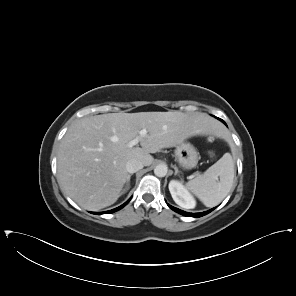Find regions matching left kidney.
<instances>
[{"mask_svg": "<svg viewBox=\"0 0 296 296\" xmlns=\"http://www.w3.org/2000/svg\"><path fill=\"white\" fill-rule=\"evenodd\" d=\"M169 191L175 203L185 209H193L196 201L181 181L171 180L169 182Z\"/></svg>", "mask_w": 296, "mask_h": 296, "instance_id": "left-kidney-1", "label": "left kidney"}]
</instances>
